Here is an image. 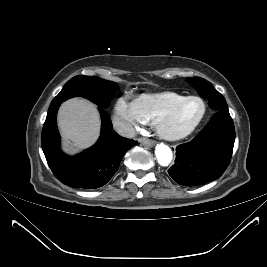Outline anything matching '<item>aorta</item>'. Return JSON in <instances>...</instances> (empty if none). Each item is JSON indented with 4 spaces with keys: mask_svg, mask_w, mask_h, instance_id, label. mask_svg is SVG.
<instances>
[{
    "mask_svg": "<svg viewBox=\"0 0 267 267\" xmlns=\"http://www.w3.org/2000/svg\"><path fill=\"white\" fill-rule=\"evenodd\" d=\"M155 155L158 163L162 166H168L173 157L171 149L165 144H157Z\"/></svg>",
    "mask_w": 267,
    "mask_h": 267,
    "instance_id": "aorta-1",
    "label": "aorta"
}]
</instances>
